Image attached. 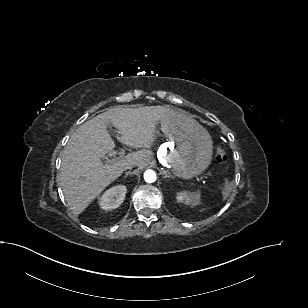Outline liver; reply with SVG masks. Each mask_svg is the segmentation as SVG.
Instances as JSON below:
<instances>
[{"instance_id":"1","label":"liver","mask_w":308,"mask_h":308,"mask_svg":"<svg viewBox=\"0 0 308 308\" xmlns=\"http://www.w3.org/2000/svg\"><path fill=\"white\" fill-rule=\"evenodd\" d=\"M172 112L169 106L160 105L116 106L85 122L73 133L63 150L59 180L74 215L83 212L123 171L147 165L151 157L148 149L155 140L157 122ZM109 123L117 129L119 142L143 149L128 154L129 158L124 161L104 165L101 158L115 147L107 131Z\"/></svg>"}]
</instances>
